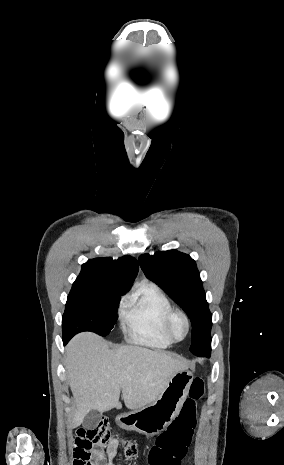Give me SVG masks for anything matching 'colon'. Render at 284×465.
<instances>
[{
	"mask_svg": "<svg viewBox=\"0 0 284 465\" xmlns=\"http://www.w3.org/2000/svg\"><path fill=\"white\" fill-rule=\"evenodd\" d=\"M203 381L200 377L193 378L188 391L185 403L181 405V412L177 413V421H171L164 435L158 438L157 446H151L148 456V465H180L186 458L189 446L188 438H192L195 428V404L203 398ZM73 465H92L90 455L91 450L99 442H110L112 434L105 422H98L74 432ZM128 454L135 453L134 443H125ZM161 445V446H158Z\"/></svg>",
	"mask_w": 284,
	"mask_h": 465,
	"instance_id": "obj_1",
	"label": "colon"
}]
</instances>
